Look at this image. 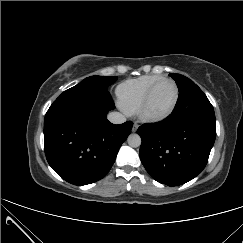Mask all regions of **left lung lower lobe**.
Returning a JSON list of instances; mask_svg holds the SVG:
<instances>
[{"label":"left lung lower lobe","mask_w":243,"mask_h":243,"mask_svg":"<svg viewBox=\"0 0 243 243\" xmlns=\"http://www.w3.org/2000/svg\"><path fill=\"white\" fill-rule=\"evenodd\" d=\"M174 112L137 130L142 164L153 179L168 186L182 185L201 173L216 137L215 121H195Z\"/></svg>","instance_id":"left-lung-lower-lobe-1"}]
</instances>
